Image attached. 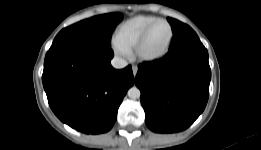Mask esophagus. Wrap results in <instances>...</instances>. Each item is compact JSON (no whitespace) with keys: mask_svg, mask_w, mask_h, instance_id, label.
Instances as JSON below:
<instances>
[{"mask_svg":"<svg viewBox=\"0 0 261 150\" xmlns=\"http://www.w3.org/2000/svg\"><path fill=\"white\" fill-rule=\"evenodd\" d=\"M132 72H133V75L135 77L137 72H138V67L137 66H132Z\"/></svg>","mask_w":261,"mask_h":150,"instance_id":"34e87169","label":"esophagus"}]
</instances>
